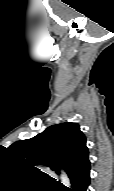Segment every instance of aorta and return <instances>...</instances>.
<instances>
[{
    "mask_svg": "<svg viewBox=\"0 0 114 191\" xmlns=\"http://www.w3.org/2000/svg\"><path fill=\"white\" fill-rule=\"evenodd\" d=\"M60 177H61V182L63 183V185L69 187L70 186V179L64 171H61Z\"/></svg>",
    "mask_w": 114,
    "mask_h": 191,
    "instance_id": "obj_1",
    "label": "aorta"
}]
</instances>
